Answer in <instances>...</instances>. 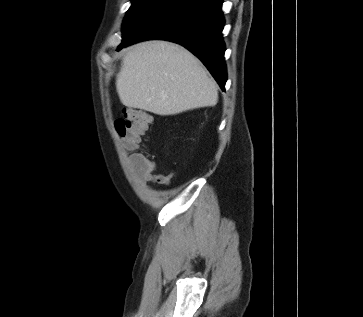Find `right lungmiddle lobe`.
Returning <instances> with one entry per match:
<instances>
[{
  "instance_id": "dd1d6c3e",
  "label": "right lung middle lobe",
  "mask_w": 363,
  "mask_h": 317,
  "mask_svg": "<svg viewBox=\"0 0 363 317\" xmlns=\"http://www.w3.org/2000/svg\"><path fill=\"white\" fill-rule=\"evenodd\" d=\"M181 0H132L123 22L122 42L132 39L141 28Z\"/></svg>"
}]
</instances>
